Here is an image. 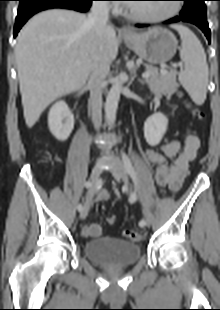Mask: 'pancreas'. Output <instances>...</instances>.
<instances>
[{
  "mask_svg": "<svg viewBox=\"0 0 220 310\" xmlns=\"http://www.w3.org/2000/svg\"><path fill=\"white\" fill-rule=\"evenodd\" d=\"M146 70L151 73V76L146 79V83L156 97L171 96L176 91L178 83L175 71L159 73L158 69L153 66H146Z\"/></svg>",
  "mask_w": 220,
  "mask_h": 310,
  "instance_id": "1",
  "label": "pancreas"
}]
</instances>
